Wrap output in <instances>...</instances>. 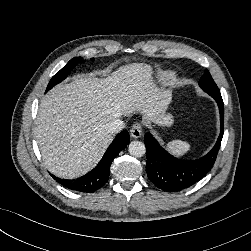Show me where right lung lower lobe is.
<instances>
[{
    "mask_svg": "<svg viewBox=\"0 0 251 251\" xmlns=\"http://www.w3.org/2000/svg\"><path fill=\"white\" fill-rule=\"evenodd\" d=\"M129 142L130 136L126 130L119 133L106 150L98 165L92 171L78 179H61L53 174H51V176L58 183L70 190L93 193L107 183L112 161L119 154V152L129 144Z\"/></svg>",
    "mask_w": 251,
    "mask_h": 251,
    "instance_id": "right-lung-lower-lobe-1",
    "label": "right lung lower lobe"
}]
</instances>
